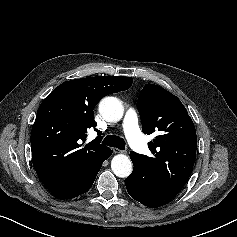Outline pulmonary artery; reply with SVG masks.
Instances as JSON below:
<instances>
[{"label":"pulmonary artery","instance_id":"obj_1","mask_svg":"<svg viewBox=\"0 0 237 237\" xmlns=\"http://www.w3.org/2000/svg\"><path fill=\"white\" fill-rule=\"evenodd\" d=\"M124 131L130 145L140 153H145L147 148L142 140V134L138 126V115L133 108L126 111L124 117Z\"/></svg>","mask_w":237,"mask_h":237}]
</instances>
